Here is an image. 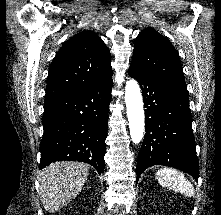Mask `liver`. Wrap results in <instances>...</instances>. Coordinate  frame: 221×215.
Masks as SVG:
<instances>
[{
	"label": "liver",
	"mask_w": 221,
	"mask_h": 215,
	"mask_svg": "<svg viewBox=\"0 0 221 215\" xmlns=\"http://www.w3.org/2000/svg\"><path fill=\"white\" fill-rule=\"evenodd\" d=\"M89 176V165L62 161L41 172L40 200L47 212H55L70 203L82 190Z\"/></svg>",
	"instance_id": "obj_1"
}]
</instances>
